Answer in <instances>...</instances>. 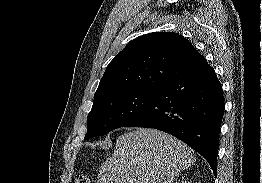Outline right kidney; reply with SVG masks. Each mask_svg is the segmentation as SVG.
I'll use <instances>...</instances> for the list:
<instances>
[{"mask_svg": "<svg viewBox=\"0 0 262 183\" xmlns=\"http://www.w3.org/2000/svg\"><path fill=\"white\" fill-rule=\"evenodd\" d=\"M177 183V182H176ZM181 183H186V181H182Z\"/></svg>", "mask_w": 262, "mask_h": 183, "instance_id": "ca27d5eb", "label": "right kidney"}]
</instances>
